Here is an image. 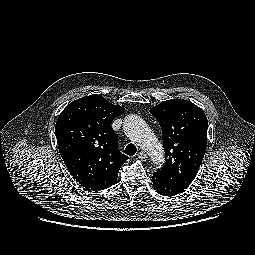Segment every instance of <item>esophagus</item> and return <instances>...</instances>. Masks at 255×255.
<instances>
[{
	"label": "esophagus",
	"mask_w": 255,
	"mask_h": 255,
	"mask_svg": "<svg viewBox=\"0 0 255 255\" xmlns=\"http://www.w3.org/2000/svg\"><path fill=\"white\" fill-rule=\"evenodd\" d=\"M137 158H139L140 160H144L147 158V155L144 151H140L138 154H137Z\"/></svg>",
	"instance_id": "obj_1"
}]
</instances>
